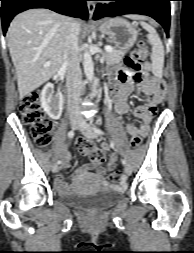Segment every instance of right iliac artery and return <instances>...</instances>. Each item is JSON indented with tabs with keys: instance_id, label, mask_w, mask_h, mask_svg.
Segmentation results:
<instances>
[{
	"instance_id": "1",
	"label": "right iliac artery",
	"mask_w": 194,
	"mask_h": 253,
	"mask_svg": "<svg viewBox=\"0 0 194 253\" xmlns=\"http://www.w3.org/2000/svg\"><path fill=\"white\" fill-rule=\"evenodd\" d=\"M74 134H75L74 131L71 130V131L68 132V137H69V138H73V137H74ZM61 162H62L61 160H58V161H57V164H61Z\"/></svg>"
}]
</instances>
